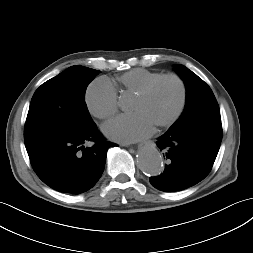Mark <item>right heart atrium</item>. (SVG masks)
Masks as SVG:
<instances>
[{
    "instance_id": "obj_1",
    "label": "right heart atrium",
    "mask_w": 253,
    "mask_h": 253,
    "mask_svg": "<svg viewBox=\"0 0 253 253\" xmlns=\"http://www.w3.org/2000/svg\"><path fill=\"white\" fill-rule=\"evenodd\" d=\"M84 99L90 114L98 119H109L118 111L117 91L105 78H97L91 82Z\"/></svg>"
}]
</instances>
